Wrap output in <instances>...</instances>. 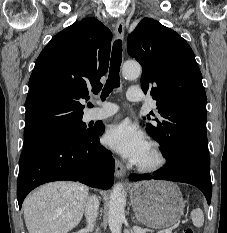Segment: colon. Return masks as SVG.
<instances>
[{
  "mask_svg": "<svg viewBox=\"0 0 227 233\" xmlns=\"http://www.w3.org/2000/svg\"><path fill=\"white\" fill-rule=\"evenodd\" d=\"M182 233H195L193 229L187 228L182 231Z\"/></svg>",
  "mask_w": 227,
  "mask_h": 233,
  "instance_id": "obj_1",
  "label": "colon"
}]
</instances>
